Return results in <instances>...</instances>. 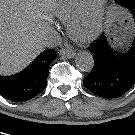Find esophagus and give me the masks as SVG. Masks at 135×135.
<instances>
[{
	"label": "esophagus",
	"mask_w": 135,
	"mask_h": 135,
	"mask_svg": "<svg viewBox=\"0 0 135 135\" xmlns=\"http://www.w3.org/2000/svg\"><path fill=\"white\" fill-rule=\"evenodd\" d=\"M59 54L65 58H74V56L76 55V53L73 50L70 49H61L59 51Z\"/></svg>",
	"instance_id": "1"
}]
</instances>
